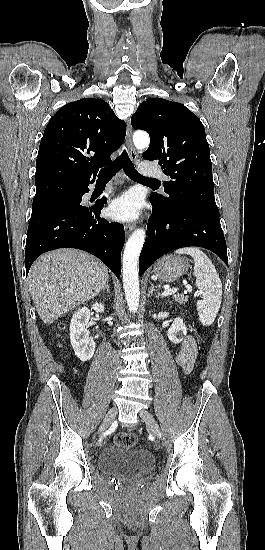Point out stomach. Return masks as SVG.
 Instances as JSON below:
<instances>
[{
    "instance_id": "0dacf381",
    "label": "stomach",
    "mask_w": 265,
    "mask_h": 550,
    "mask_svg": "<svg viewBox=\"0 0 265 550\" xmlns=\"http://www.w3.org/2000/svg\"><path fill=\"white\" fill-rule=\"evenodd\" d=\"M188 260L181 256L168 255L161 258L154 266V274L163 282H171L188 270Z\"/></svg>"
}]
</instances>
